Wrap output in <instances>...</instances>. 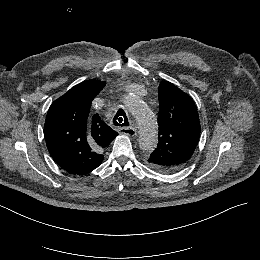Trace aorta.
Returning <instances> with one entry per match:
<instances>
[{"label":"aorta","instance_id":"1","mask_svg":"<svg viewBox=\"0 0 260 260\" xmlns=\"http://www.w3.org/2000/svg\"><path fill=\"white\" fill-rule=\"evenodd\" d=\"M124 104L134 116L139 128V147L145 152H152L158 143L157 119L147 105L136 95H128Z\"/></svg>","mask_w":260,"mask_h":260}]
</instances>
